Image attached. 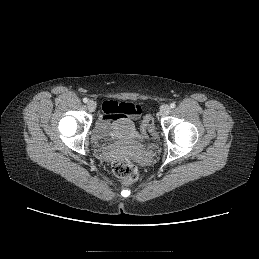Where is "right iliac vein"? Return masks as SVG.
Returning <instances> with one entry per match:
<instances>
[{"label":"right iliac vein","instance_id":"63e3f726","mask_svg":"<svg viewBox=\"0 0 259 259\" xmlns=\"http://www.w3.org/2000/svg\"><path fill=\"white\" fill-rule=\"evenodd\" d=\"M87 108L89 111L93 112L96 109V103L93 100L88 101Z\"/></svg>","mask_w":259,"mask_h":259}]
</instances>
